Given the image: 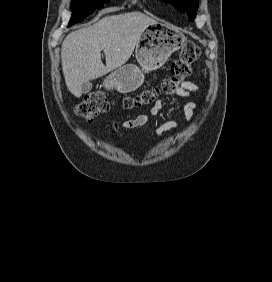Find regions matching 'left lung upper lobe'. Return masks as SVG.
<instances>
[{
    "instance_id": "obj_1",
    "label": "left lung upper lobe",
    "mask_w": 272,
    "mask_h": 282,
    "mask_svg": "<svg viewBox=\"0 0 272 282\" xmlns=\"http://www.w3.org/2000/svg\"><path fill=\"white\" fill-rule=\"evenodd\" d=\"M172 4L180 12H186L189 19L193 21L198 8L197 0H164Z\"/></svg>"
}]
</instances>
